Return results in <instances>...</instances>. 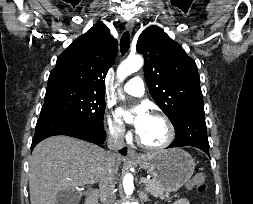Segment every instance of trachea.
I'll use <instances>...</instances> for the list:
<instances>
[{
  "label": "trachea",
  "mask_w": 253,
  "mask_h": 204,
  "mask_svg": "<svg viewBox=\"0 0 253 204\" xmlns=\"http://www.w3.org/2000/svg\"><path fill=\"white\" fill-rule=\"evenodd\" d=\"M130 47V35L129 32L123 33L120 42V51L122 54L127 53Z\"/></svg>",
  "instance_id": "3493384b"
}]
</instances>
